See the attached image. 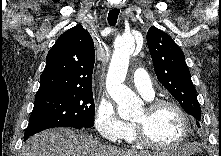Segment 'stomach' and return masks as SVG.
I'll return each instance as SVG.
<instances>
[{
	"instance_id": "1",
	"label": "stomach",
	"mask_w": 221,
	"mask_h": 156,
	"mask_svg": "<svg viewBox=\"0 0 221 156\" xmlns=\"http://www.w3.org/2000/svg\"><path fill=\"white\" fill-rule=\"evenodd\" d=\"M183 148L184 147L175 148L171 152L159 153V155H155V156H188L187 154L184 153Z\"/></svg>"
}]
</instances>
